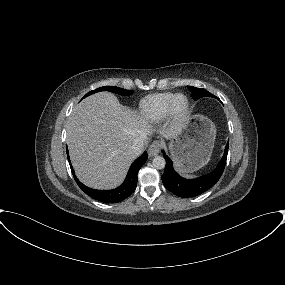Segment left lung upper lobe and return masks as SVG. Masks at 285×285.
Listing matches in <instances>:
<instances>
[{
    "mask_svg": "<svg viewBox=\"0 0 285 285\" xmlns=\"http://www.w3.org/2000/svg\"><path fill=\"white\" fill-rule=\"evenodd\" d=\"M187 87L191 91V95H192V98L194 100H197V99H199L201 97H215L214 95H212L210 92H208L205 89L196 88V87H193V86H187ZM215 98H217V97H215Z\"/></svg>",
    "mask_w": 285,
    "mask_h": 285,
    "instance_id": "obj_1",
    "label": "left lung upper lobe"
}]
</instances>
